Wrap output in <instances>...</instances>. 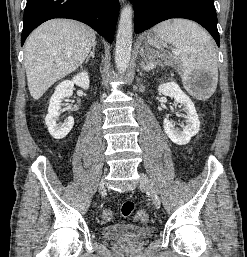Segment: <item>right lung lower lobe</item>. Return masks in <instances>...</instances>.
<instances>
[{
	"label": "right lung lower lobe",
	"instance_id": "98d812e1",
	"mask_svg": "<svg viewBox=\"0 0 247 257\" xmlns=\"http://www.w3.org/2000/svg\"><path fill=\"white\" fill-rule=\"evenodd\" d=\"M118 14L119 0H27L21 45L37 26L53 18L81 21L113 42Z\"/></svg>",
	"mask_w": 247,
	"mask_h": 257
}]
</instances>
